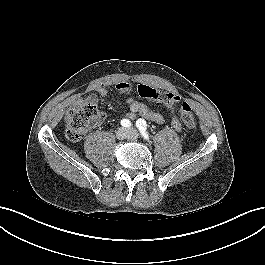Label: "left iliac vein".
<instances>
[{
	"instance_id": "4c4485c4",
	"label": "left iliac vein",
	"mask_w": 265,
	"mask_h": 265,
	"mask_svg": "<svg viewBox=\"0 0 265 265\" xmlns=\"http://www.w3.org/2000/svg\"><path fill=\"white\" fill-rule=\"evenodd\" d=\"M130 135H135L136 131L134 129H128Z\"/></svg>"
}]
</instances>
